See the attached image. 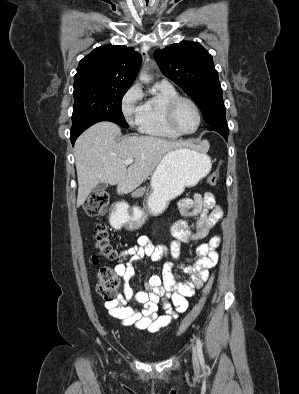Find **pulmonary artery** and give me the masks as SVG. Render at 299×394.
<instances>
[{
    "mask_svg": "<svg viewBox=\"0 0 299 394\" xmlns=\"http://www.w3.org/2000/svg\"><path fill=\"white\" fill-rule=\"evenodd\" d=\"M161 82H162V83H165V84H169V82L166 81V80H162Z\"/></svg>",
    "mask_w": 299,
    "mask_h": 394,
    "instance_id": "pulmonary-artery-1",
    "label": "pulmonary artery"
}]
</instances>
